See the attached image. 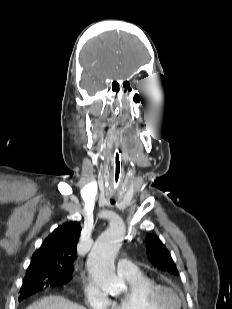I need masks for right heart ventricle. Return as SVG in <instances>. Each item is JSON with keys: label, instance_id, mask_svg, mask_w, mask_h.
Listing matches in <instances>:
<instances>
[{"label": "right heart ventricle", "instance_id": "obj_1", "mask_svg": "<svg viewBox=\"0 0 232 309\" xmlns=\"http://www.w3.org/2000/svg\"><path fill=\"white\" fill-rule=\"evenodd\" d=\"M124 278L129 291L121 298L111 301L110 309H153L146 300V294L156 283L142 272Z\"/></svg>", "mask_w": 232, "mask_h": 309}]
</instances>
